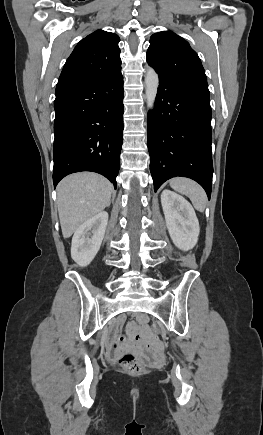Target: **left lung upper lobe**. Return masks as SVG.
Here are the masks:
<instances>
[{
    "instance_id": "1",
    "label": "left lung upper lobe",
    "mask_w": 263,
    "mask_h": 435,
    "mask_svg": "<svg viewBox=\"0 0 263 435\" xmlns=\"http://www.w3.org/2000/svg\"><path fill=\"white\" fill-rule=\"evenodd\" d=\"M146 59L160 76L208 89L197 53L187 41L170 31L151 36Z\"/></svg>"
}]
</instances>
